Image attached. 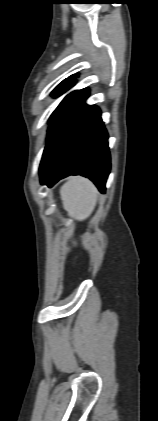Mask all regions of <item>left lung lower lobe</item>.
Here are the masks:
<instances>
[{"label":"left lung lower lobe","mask_w":158,"mask_h":421,"mask_svg":"<svg viewBox=\"0 0 158 421\" xmlns=\"http://www.w3.org/2000/svg\"><path fill=\"white\" fill-rule=\"evenodd\" d=\"M79 90L52 119L40 164L41 184L52 187L69 175L90 178L101 193L110 171L108 134L98 107L85 104Z\"/></svg>","instance_id":"left-lung-lower-lobe-1"}]
</instances>
